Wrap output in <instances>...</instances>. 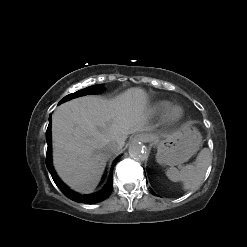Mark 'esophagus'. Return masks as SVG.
<instances>
[{"instance_id": "esophagus-1", "label": "esophagus", "mask_w": 247, "mask_h": 247, "mask_svg": "<svg viewBox=\"0 0 247 247\" xmlns=\"http://www.w3.org/2000/svg\"><path fill=\"white\" fill-rule=\"evenodd\" d=\"M135 138L144 143L153 141V137L149 134H139Z\"/></svg>"}]
</instances>
